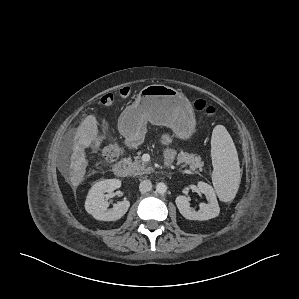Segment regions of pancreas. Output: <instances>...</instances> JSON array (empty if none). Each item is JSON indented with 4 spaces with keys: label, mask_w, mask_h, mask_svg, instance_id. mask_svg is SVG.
<instances>
[{
    "label": "pancreas",
    "mask_w": 299,
    "mask_h": 299,
    "mask_svg": "<svg viewBox=\"0 0 299 299\" xmlns=\"http://www.w3.org/2000/svg\"><path fill=\"white\" fill-rule=\"evenodd\" d=\"M130 167H131V173L133 175H143L148 174L152 171L151 167H147L146 163H144L140 156L134 157V161L131 160V158H128ZM177 163L182 164L185 163L186 165L190 166V169L192 171L203 170L204 162L202 161V158L200 156H197L195 154H189L186 152L181 151L177 156Z\"/></svg>",
    "instance_id": "cf45deb5"
}]
</instances>
